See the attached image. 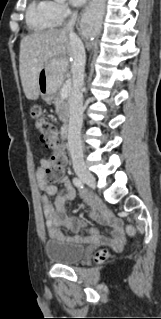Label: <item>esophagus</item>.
<instances>
[{
	"label": "esophagus",
	"instance_id": "1",
	"mask_svg": "<svg viewBox=\"0 0 161 319\" xmlns=\"http://www.w3.org/2000/svg\"><path fill=\"white\" fill-rule=\"evenodd\" d=\"M76 26H77V27H79V26H80V21H79V20L77 21Z\"/></svg>",
	"mask_w": 161,
	"mask_h": 319
}]
</instances>
